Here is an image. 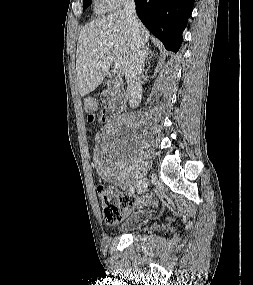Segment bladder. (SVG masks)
<instances>
[{
    "label": "bladder",
    "instance_id": "31cf9c89",
    "mask_svg": "<svg viewBox=\"0 0 253 285\" xmlns=\"http://www.w3.org/2000/svg\"><path fill=\"white\" fill-rule=\"evenodd\" d=\"M154 219L151 210L137 209L131 211L118 226L117 230L122 234H130L147 227Z\"/></svg>",
    "mask_w": 253,
    "mask_h": 285
}]
</instances>
